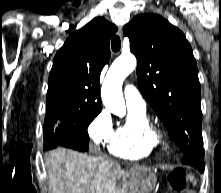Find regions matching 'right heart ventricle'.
<instances>
[{
    "mask_svg": "<svg viewBox=\"0 0 221 193\" xmlns=\"http://www.w3.org/2000/svg\"><path fill=\"white\" fill-rule=\"evenodd\" d=\"M148 123L146 110L130 109L128 120L118 126L108 143L109 153L125 159L143 158L152 153L157 143L147 131Z\"/></svg>",
    "mask_w": 221,
    "mask_h": 193,
    "instance_id": "e07e8e85",
    "label": "right heart ventricle"
}]
</instances>
